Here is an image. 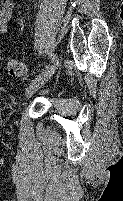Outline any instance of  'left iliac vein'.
<instances>
[{"mask_svg": "<svg viewBox=\"0 0 123 201\" xmlns=\"http://www.w3.org/2000/svg\"><path fill=\"white\" fill-rule=\"evenodd\" d=\"M58 65H51L45 71L37 75L28 86L25 97L29 99L42 85H44L55 73L57 70Z\"/></svg>", "mask_w": 123, "mask_h": 201, "instance_id": "left-iliac-vein-1", "label": "left iliac vein"}]
</instances>
